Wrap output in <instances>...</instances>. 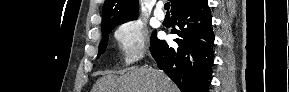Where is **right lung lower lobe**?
<instances>
[{"label":"right lung lower lobe","instance_id":"obj_1","mask_svg":"<svg viewBox=\"0 0 289 92\" xmlns=\"http://www.w3.org/2000/svg\"><path fill=\"white\" fill-rule=\"evenodd\" d=\"M207 0L172 13V33L178 48L153 38L150 51L158 67L177 84L182 92H208L214 59V35Z\"/></svg>","mask_w":289,"mask_h":92}]
</instances>
